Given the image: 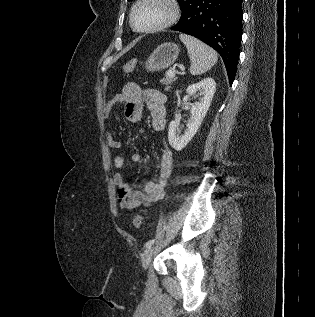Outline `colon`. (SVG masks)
<instances>
[{
	"label": "colon",
	"mask_w": 315,
	"mask_h": 317,
	"mask_svg": "<svg viewBox=\"0 0 315 317\" xmlns=\"http://www.w3.org/2000/svg\"><path fill=\"white\" fill-rule=\"evenodd\" d=\"M137 60L130 59L124 63L122 69L125 73H130L134 70ZM133 225L135 228L139 229L143 226V218L140 215H137L133 218Z\"/></svg>",
	"instance_id": "1"
}]
</instances>
